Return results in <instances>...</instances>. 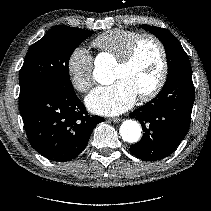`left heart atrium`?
<instances>
[{"instance_id": "left-heart-atrium-1", "label": "left heart atrium", "mask_w": 211, "mask_h": 211, "mask_svg": "<svg viewBox=\"0 0 211 211\" xmlns=\"http://www.w3.org/2000/svg\"><path fill=\"white\" fill-rule=\"evenodd\" d=\"M137 96L130 83L117 80L111 85L95 88L86 97V105L96 114L114 116L131 108Z\"/></svg>"}]
</instances>
